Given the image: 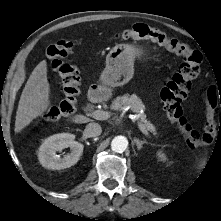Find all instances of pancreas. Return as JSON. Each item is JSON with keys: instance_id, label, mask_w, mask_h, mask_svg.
<instances>
[{"instance_id": "cf45deb5", "label": "pancreas", "mask_w": 221, "mask_h": 221, "mask_svg": "<svg viewBox=\"0 0 221 221\" xmlns=\"http://www.w3.org/2000/svg\"><path fill=\"white\" fill-rule=\"evenodd\" d=\"M127 107H129L134 113L138 114V122L141 123L147 131L154 135L157 134L156 127L146 119V115L142 112L145 109V105L137 95L125 94L119 96L113 101L111 106L114 110H124Z\"/></svg>"}]
</instances>
